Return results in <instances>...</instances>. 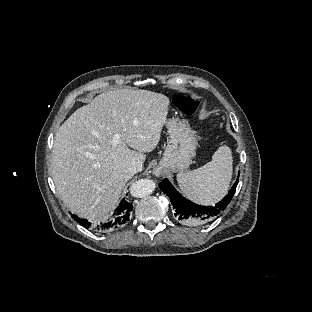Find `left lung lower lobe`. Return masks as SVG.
<instances>
[{
    "instance_id": "left-lung-lower-lobe-1",
    "label": "left lung lower lobe",
    "mask_w": 312,
    "mask_h": 312,
    "mask_svg": "<svg viewBox=\"0 0 312 312\" xmlns=\"http://www.w3.org/2000/svg\"><path fill=\"white\" fill-rule=\"evenodd\" d=\"M238 180L239 176L224 199L211 207L197 205L185 199L175 190L167 179H164L159 184V187L170 198L175 219L180 223L197 228L211 223L225 210L235 193Z\"/></svg>"
}]
</instances>
